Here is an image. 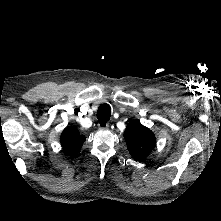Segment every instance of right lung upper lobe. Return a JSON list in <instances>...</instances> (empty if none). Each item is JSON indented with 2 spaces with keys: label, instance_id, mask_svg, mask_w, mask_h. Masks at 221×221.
<instances>
[{
  "label": "right lung upper lobe",
  "instance_id": "obj_1",
  "mask_svg": "<svg viewBox=\"0 0 221 221\" xmlns=\"http://www.w3.org/2000/svg\"><path fill=\"white\" fill-rule=\"evenodd\" d=\"M60 142L68 154L74 155L81 149L85 136L76 127H69L62 132Z\"/></svg>",
  "mask_w": 221,
  "mask_h": 221
}]
</instances>
